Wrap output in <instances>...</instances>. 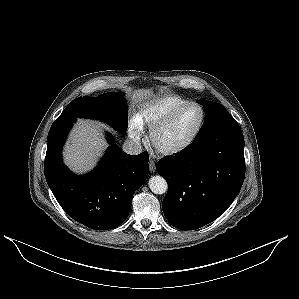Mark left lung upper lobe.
Returning <instances> with one entry per match:
<instances>
[{"mask_svg":"<svg viewBox=\"0 0 299 299\" xmlns=\"http://www.w3.org/2000/svg\"><path fill=\"white\" fill-rule=\"evenodd\" d=\"M197 102L204 106L206 113L204 124L195 139L200 138L204 133L215 127L221 121L231 117L229 112L219 103L206 100H198Z\"/></svg>","mask_w":299,"mask_h":299,"instance_id":"1","label":"left lung upper lobe"}]
</instances>
